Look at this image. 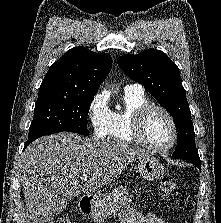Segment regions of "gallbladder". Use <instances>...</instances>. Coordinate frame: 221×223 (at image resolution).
<instances>
[{
    "mask_svg": "<svg viewBox=\"0 0 221 223\" xmlns=\"http://www.w3.org/2000/svg\"><path fill=\"white\" fill-rule=\"evenodd\" d=\"M61 201L63 203V207H66V205L70 202V198L68 197H62Z\"/></svg>",
    "mask_w": 221,
    "mask_h": 223,
    "instance_id": "bac80fb5",
    "label": "gallbladder"
}]
</instances>
